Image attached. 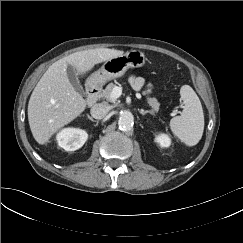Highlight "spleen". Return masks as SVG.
<instances>
[{
	"instance_id": "1",
	"label": "spleen",
	"mask_w": 243,
	"mask_h": 243,
	"mask_svg": "<svg viewBox=\"0 0 243 243\" xmlns=\"http://www.w3.org/2000/svg\"><path fill=\"white\" fill-rule=\"evenodd\" d=\"M184 107L181 115L170 120L172 133L187 146H195L204 131V114L199 97L189 85L180 89Z\"/></svg>"
}]
</instances>
